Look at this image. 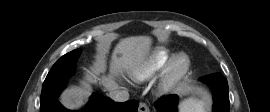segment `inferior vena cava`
I'll list each match as a JSON object with an SVG mask.
<instances>
[{"instance_id":"602c4592","label":"inferior vena cava","mask_w":270,"mask_h":112,"mask_svg":"<svg viewBox=\"0 0 270 112\" xmlns=\"http://www.w3.org/2000/svg\"><path fill=\"white\" fill-rule=\"evenodd\" d=\"M109 97L116 102H125L129 99V93L127 90H113Z\"/></svg>"}]
</instances>
